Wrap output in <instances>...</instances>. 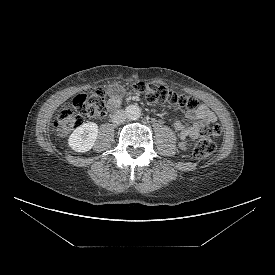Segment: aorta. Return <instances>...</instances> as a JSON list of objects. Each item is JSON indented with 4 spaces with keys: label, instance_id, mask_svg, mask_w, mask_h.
Returning <instances> with one entry per match:
<instances>
[{
    "label": "aorta",
    "instance_id": "762f6f07",
    "mask_svg": "<svg viewBox=\"0 0 275 275\" xmlns=\"http://www.w3.org/2000/svg\"><path fill=\"white\" fill-rule=\"evenodd\" d=\"M125 114L130 120H137L141 116V109L136 104L128 105Z\"/></svg>",
    "mask_w": 275,
    "mask_h": 275
}]
</instances>
